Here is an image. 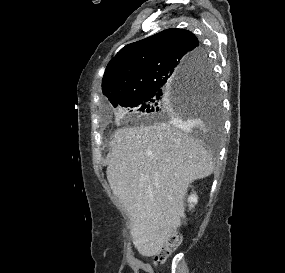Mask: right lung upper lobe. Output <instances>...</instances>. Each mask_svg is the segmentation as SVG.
I'll list each match as a JSON object with an SVG mask.
<instances>
[{"mask_svg": "<svg viewBox=\"0 0 285 273\" xmlns=\"http://www.w3.org/2000/svg\"><path fill=\"white\" fill-rule=\"evenodd\" d=\"M205 53L185 29H166L122 48L108 64L102 91L113 105L158 85H168L200 72Z\"/></svg>", "mask_w": 285, "mask_h": 273, "instance_id": "right-lung-upper-lobe-1", "label": "right lung upper lobe"}]
</instances>
